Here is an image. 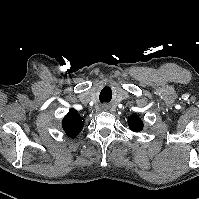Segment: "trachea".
I'll return each mask as SVG.
<instances>
[{
    "label": "trachea",
    "instance_id": "1",
    "mask_svg": "<svg viewBox=\"0 0 199 199\" xmlns=\"http://www.w3.org/2000/svg\"><path fill=\"white\" fill-rule=\"evenodd\" d=\"M105 97H107L104 93H103V91L100 93V96H99V98H100V100L101 99H104Z\"/></svg>",
    "mask_w": 199,
    "mask_h": 199
}]
</instances>
